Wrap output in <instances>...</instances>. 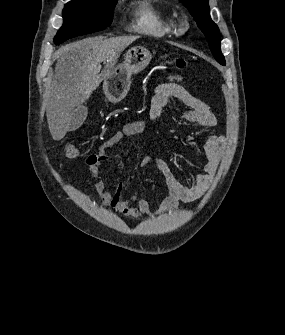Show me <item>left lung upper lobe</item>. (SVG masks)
Returning <instances> with one entry per match:
<instances>
[{
  "label": "left lung upper lobe",
  "mask_w": 285,
  "mask_h": 335,
  "mask_svg": "<svg viewBox=\"0 0 285 335\" xmlns=\"http://www.w3.org/2000/svg\"><path fill=\"white\" fill-rule=\"evenodd\" d=\"M189 9L191 15L196 20L198 27L205 34L209 43L210 50L222 65H225V59L221 53V42L218 26L211 20L208 0H180Z\"/></svg>",
  "instance_id": "left-lung-upper-lobe-1"
}]
</instances>
